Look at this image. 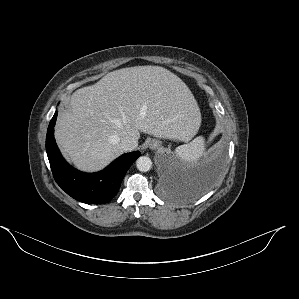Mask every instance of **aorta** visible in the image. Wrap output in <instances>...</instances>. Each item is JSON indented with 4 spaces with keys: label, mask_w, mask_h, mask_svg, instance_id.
Listing matches in <instances>:
<instances>
[{
    "label": "aorta",
    "mask_w": 299,
    "mask_h": 299,
    "mask_svg": "<svg viewBox=\"0 0 299 299\" xmlns=\"http://www.w3.org/2000/svg\"><path fill=\"white\" fill-rule=\"evenodd\" d=\"M136 167L141 172H147L152 167V161L147 156H141L136 161Z\"/></svg>",
    "instance_id": "obj_1"
}]
</instances>
